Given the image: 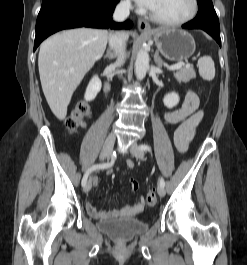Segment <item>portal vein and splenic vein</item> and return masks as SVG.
<instances>
[{"label": "portal vein and splenic vein", "instance_id": "1", "mask_svg": "<svg viewBox=\"0 0 247 265\" xmlns=\"http://www.w3.org/2000/svg\"><path fill=\"white\" fill-rule=\"evenodd\" d=\"M183 66L185 67H189L190 65L189 64H184V63H178V64H175V65H171V66H168L167 68L169 70H179L181 69Z\"/></svg>", "mask_w": 247, "mask_h": 265}]
</instances>
